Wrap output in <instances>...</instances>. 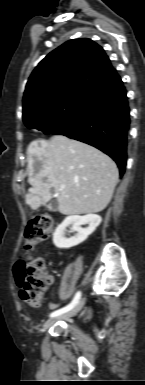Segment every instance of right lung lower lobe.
Listing matches in <instances>:
<instances>
[{
	"instance_id": "1",
	"label": "right lung lower lobe",
	"mask_w": 145,
	"mask_h": 385,
	"mask_svg": "<svg viewBox=\"0 0 145 385\" xmlns=\"http://www.w3.org/2000/svg\"><path fill=\"white\" fill-rule=\"evenodd\" d=\"M129 111L126 90L119 78L99 89L82 110L51 134L65 135L98 148L117 163L123 175Z\"/></svg>"
}]
</instances>
